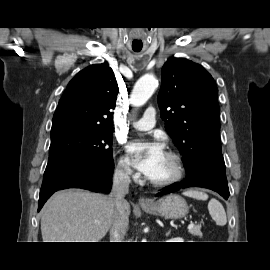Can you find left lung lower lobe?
I'll use <instances>...</instances> for the list:
<instances>
[{"label":"left lung lower lobe","mask_w":270,"mask_h":270,"mask_svg":"<svg viewBox=\"0 0 270 270\" xmlns=\"http://www.w3.org/2000/svg\"><path fill=\"white\" fill-rule=\"evenodd\" d=\"M187 187L208 188L216 191L227 200L230 193L225 173L224 160H207L199 167V169L187 174L184 181L168 186L166 190L158 193L157 196L169 194L179 190L180 188Z\"/></svg>","instance_id":"obj_1"}]
</instances>
